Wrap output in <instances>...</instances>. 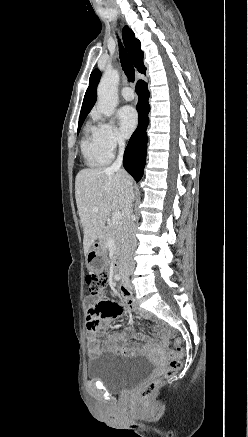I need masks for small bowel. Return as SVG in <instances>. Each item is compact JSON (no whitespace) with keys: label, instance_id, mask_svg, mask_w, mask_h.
<instances>
[{"label":"small bowel","instance_id":"c3829d8e","mask_svg":"<svg viewBox=\"0 0 248 437\" xmlns=\"http://www.w3.org/2000/svg\"><path fill=\"white\" fill-rule=\"evenodd\" d=\"M123 306L107 298L108 294L102 291L100 294H86L83 305L86 307L87 329L89 331L88 355L96 357L103 348L111 352L123 354H135L141 352H152L159 349V344L148 340L146 336L136 333L130 326L114 333H104V340L101 342L97 335L103 331L102 323H108L116 318L125 307L132 306V299L129 292L121 288ZM115 310V312H114ZM97 314V316H96ZM161 342H164V332L158 328ZM129 338L146 341L144 345L138 342H128Z\"/></svg>","mask_w":248,"mask_h":437}]
</instances>
